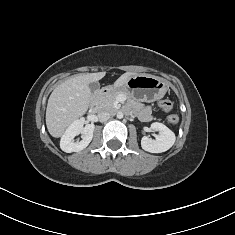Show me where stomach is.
<instances>
[{
  "label": "stomach",
  "instance_id": "1",
  "mask_svg": "<svg viewBox=\"0 0 235 235\" xmlns=\"http://www.w3.org/2000/svg\"><path fill=\"white\" fill-rule=\"evenodd\" d=\"M167 87L166 81L160 77L139 74L130 77L122 87L113 86V89L126 93L133 101L153 102L165 95Z\"/></svg>",
  "mask_w": 235,
  "mask_h": 235
}]
</instances>
